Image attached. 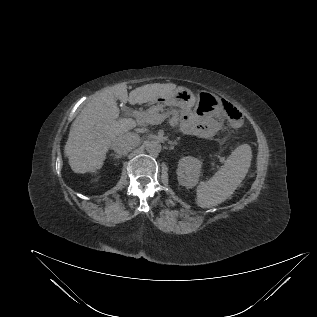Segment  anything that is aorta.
<instances>
[{"label": "aorta", "mask_w": 317, "mask_h": 317, "mask_svg": "<svg viewBox=\"0 0 317 317\" xmlns=\"http://www.w3.org/2000/svg\"><path fill=\"white\" fill-rule=\"evenodd\" d=\"M145 147L146 151L153 156H157L161 151V144L157 140L147 141Z\"/></svg>", "instance_id": "aorta-1"}]
</instances>
